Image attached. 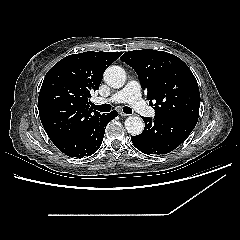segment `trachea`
I'll return each mask as SVG.
<instances>
[{
  "label": "trachea",
  "mask_w": 240,
  "mask_h": 240,
  "mask_svg": "<svg viewBox=\"0 0 240 240\" xmlns=\"http://www.w3.org/2000/svg\"><path fill=\"white\" fill-rule=\"evenodd\" d=\"M92 108L100 112H110L111 105L110 104H103V105L92 104ZM123 111L126 114H132V109L130 107H127V106L123 107Z\"/></svg>",
  "instance_id": "obj_1"
}]
</instances>
